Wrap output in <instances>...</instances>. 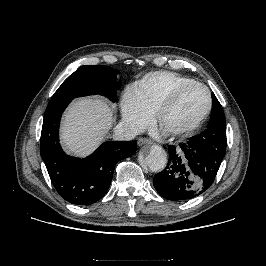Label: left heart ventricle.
Instances as JSON below:
<instances>
[{
	"instance_id": "1",
	"label": "left heart ventricle",
	"mask_w": 266,
	"mask_h": 266,
	"mask_svg": "<svg viewBox=\"0 0 266 266\" xmlns=\"http://www.w3.org/2000/svg\"><path fill=\"white\" fill-rule=\"evenodd\" d=\"M207 106L203 89L190 87L184 90L161 117V127L171 129L187 125L197 119Z\"/></svg>"
}]
</instances>
